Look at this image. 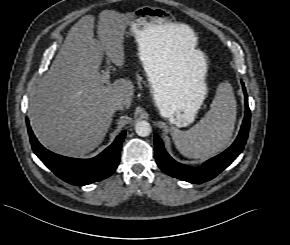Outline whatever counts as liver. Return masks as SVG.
<instances>
[{
	"label": "liver",
	"mask_w": 290,
	"mask_h": 245,
	"mask_svg": "<svg viewBox=\"0 0 290 245\" xmlns=\"http://www.w3.org/2000/svg\"><path fill=\"white\" fill-rule=\"evenodd\" d=\"M129 16L112 11L99 14L98 39L94 17L83 16L69 30L50 69L35 88L28 117L38 140L55 153L82 157L104 139L114 114L111 104L120 101L129 109L134 95L130 80L111 86L100 80L102 55L118 67L125 62L124 33ZM166 38L175 59L187 67L196 53L184 25L166 26Z\"/></svg>",
	"instance_id": "6515ba94"
}]
</instances>
